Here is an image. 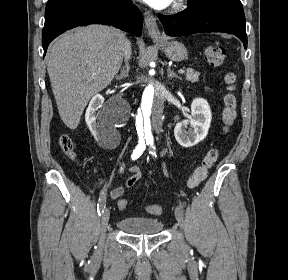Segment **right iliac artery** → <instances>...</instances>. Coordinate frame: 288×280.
Returning a JSON list of instances; mask_svg holds the SVG:
<instances>
[{"label": "right iliac artery", "instance_id": "1", "mask_svg": "<svg viewBox=\"0 0 288 280\" xmlns=\"http://www.w3.org/2000/svg\"><path fill=\"white\" fill-rule=\"evenodd\" d=\"M148 145V143H147ZM145 150V142H140L139 145L134 149L133 154L131 156L132 160H136ZM106 207V188H104L99 196L98 205H97V212L100 216Z\"/></svg>", "mask_w": 288, "mask_h": 280}]
</instances>
